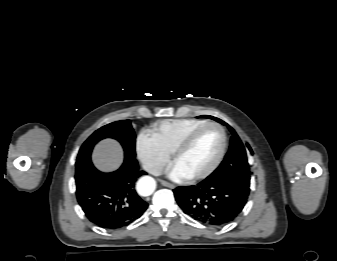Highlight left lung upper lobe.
<instances>
[{"mask_svg":"<svg viewBox=\"0 0 337 261\" xmlns=\"http://www.w3.org/2000/svg\"><path fill=\"white\" fill-rule=\"evenodd\" d=\"M213 119L227 125L233 135L231 137L229 151L224 160L207 178L225 180L240 188L244 193L249 194L250 169L245 147L233 128L217 118L213 117ZM247 147L251 151L249 145H247Z\"/></svg>","mask_w":337,"mask_h":261,"instance_id":"left-lung-upper-lobe-1","label":"left lung upper lobe"}]
</instances>
